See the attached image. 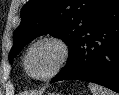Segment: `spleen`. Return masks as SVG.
Listing matches in <instances>:
<instances>
[{
	"label": "spleen",
	"instance_id": "3e777b00",
	"mask_svg": "<svg viewBox=\"0 0 119 95\" xmlns=\"http://www.w3.org/2000/svg\"><path fill=\"white\" fill-rule=\"evenodd\" d=\"M88 87L90 88L92 95H119L111 90H108L107 88L94 83H89Z\"/></svg>",
	"mask_w": 119,
	"mask_h": 95
}]
</instances>
